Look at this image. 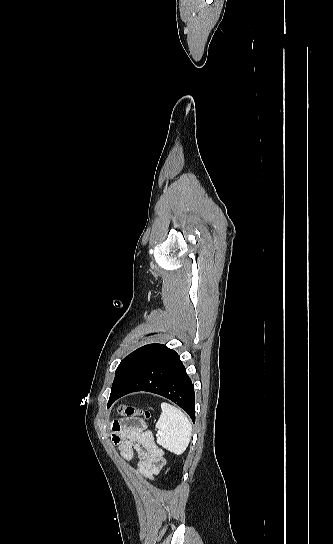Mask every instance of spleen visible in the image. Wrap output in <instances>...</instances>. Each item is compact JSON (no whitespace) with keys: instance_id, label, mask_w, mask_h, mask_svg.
<instances>
[{"instance_id":"3e777b00","label":"spleen","mask_w":333,"mask_h":544,"mask_svg":"<svg viewBox=\"0 0 333 544\" xmlns=\"http://www.w3.org/2000/svg\"><path fill=\"white\" fill-rule=\"evenodd\" d=\"M161 410L156 423V429L161 432L157 443L175 454H181L191 439V423L180 409L166 402L161 404Z\"/></svg>"}]
</instances>
